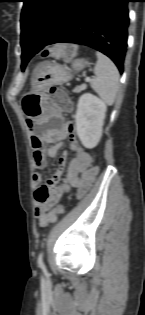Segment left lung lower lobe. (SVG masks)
Wrapping results in <instances>:
<instances>
[{
    "instance_id": "left-lung-lower-lobe-1",
    "label": "left lung lower lobe",
    "mask_w": 145,
    "mask_h": 315,
    "mask_svg": "<svg viewBox=\"0 0 145 315\" xmlns=\"http://www.w3.org/2000/svg\"><path fill=\"white\" fill-rule=\"evenodd\" d=\"M128 2L131 0H74L51 39L32 45L33 35L21 38L22 58L31 59L47 45L75 43L107 55L122 73L127 51Z\"/></svg>"
}]
</instances>
